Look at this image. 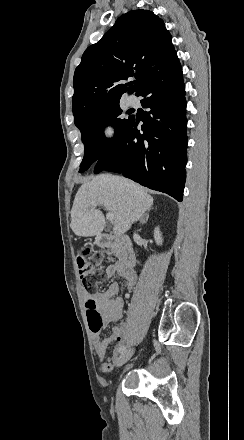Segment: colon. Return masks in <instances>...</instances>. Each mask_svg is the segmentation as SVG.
<instances>
[{
    "mask_svg": "<svg viewBox=\"0 0 244 440\" xmlns=\"http://www.w3.org/2000/svg\"><path fill=\"white\" fill-rule=\"evenodd\" d=\"M91 252L92 250H90V248H85L79 251V253H75L74 256L75 262L78 263L81 282L85 288L86 294H95L96 288L102 284L104 280L101 271V251L95 252L92 256L91 266L94 267L95 270L90 272L88 269V260L90 259ZM85 303L87 307H94L96 302L94 298H87ZM85 317L86 319H101L102 312L101 310H86Z\"/></svg>",
    "mask_w": 244,
    "mask_h": 440,
    "instance_id": "1",
    "label": "colon"
}]
</instances>
